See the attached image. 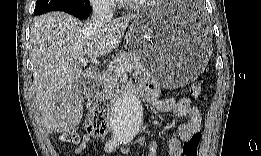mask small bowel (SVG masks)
Masks as SVG:
<instances>
[{
	"mask_svg": "<svg viewBox=\"0 0 261 156\" xmlns=\"http://www.w3.org/2000/svg\"><path fill=\"white\" fill-rule=\"evenodd\" d=\"M131 85L135 90L146 96L149 102L161 112H173L178 118H187L185 123L179 124L174 132V136L168 143V155L180 156L182 152V142L188 140L194 133L200 132L202 117L199 109L193 105L192 101L183 97L178 100L174 98H160L156 86L141 79H133ZM157 124V123H156ZM90 135L84 134L79 145L75 148V155L81 156L87 149L90 142ZM140 147L145 145V140H137ZM157 153L156 142H151L148 149L149 156H155Z\"/></svg>",
	"mask_w": 261,
	"mask_h": 156,
	"instance_id": "small-bowel-1",
	"label": "small bowel"
}]
</instances>
